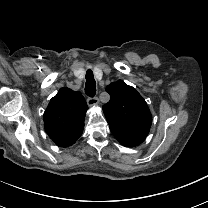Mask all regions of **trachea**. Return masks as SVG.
Returning a JSON list of instances; mask_svg holds the SVG:
<instances>
[{
  "mask_svg": "<svg viewBox=\"0 0 208 208\" xmlns=\"http://www.w3.org/2000/svg\"><path fill=\"white\" fill-rule=\"evenodd\" d=\"M86 83H85V93L89 97H94L96 94V82L93 76V71L91 69H88L86 71Z\"/></svg>",
  "mask_w": 208,
  "mask_h": 208,
  "instance_id": "3493384b",
  "label": "trachea"
}]
</instances>
